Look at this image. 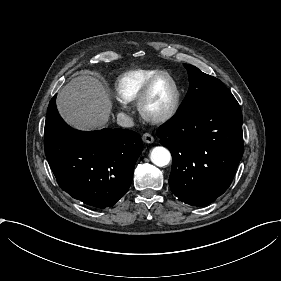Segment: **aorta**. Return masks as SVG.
I'll return each instance as SVG.
<instances>
[{
	"instance_id": "1",
	"label": "aorta",
	"mask_w": 281,
	"mask_h": 281,
	"mask_svg": "<svg viewBox=\"0 0 281 281\" xmlns=\"http://www.w3.org/2000/svg\"><path fill=\"white\" fill-rule=\"evenodd\" d=\"M150 159L156 166L163 167L170 163L171 154L167 148L157 146L152 149Z\"/></svg>"
}]
</instances>
